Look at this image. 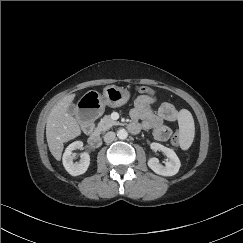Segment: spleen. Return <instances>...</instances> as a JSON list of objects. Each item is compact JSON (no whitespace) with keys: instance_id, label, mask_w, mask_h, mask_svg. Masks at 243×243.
I'll return each instance as SVG.
<instances>
[{"instance_id":"3e777b00","label":"spleen","mask_w":243,"mask_h":243,"mask_svg":"<svg viewBox=\"0 0 243 243\" xmlns=\"http://www.w3.org/2000/svg\"><path fill=\"white\" fill-rule=\"evenodd\" d=\"M179 144L182 150H187L192 145L195 134V126L192 114L182 109L178 116Z\"/></svg>"}]
</instances>
